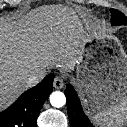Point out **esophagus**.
Masks as SVG:
<instances>
[{
    "instance_id": "1",
    "label": "esophagus",
    "mask_w": 127,
    "mask_h": 127,
    "mask_svg": "<svg viewBox=\"0 0 127 127\" xmlns=\"http://www.w3.org/2000/svg\"><path fill=\"white\" fill-rule=\"evenodd\" d=\"M53 85L56 89H61L64 86V80L61 76H56L53 82Z\"/></svg>"
}]
</instances>
